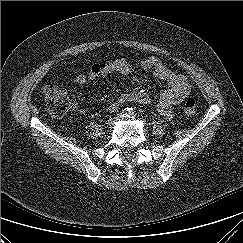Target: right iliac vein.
<instances>
[{"mask_svg":"<svg viewBox=\"0 0 243 243\" xmlns=\"http://www.w3.org/2000/svg\"><path fill=\"white\" fill-rule=\"evenodd\" d=\"M115 121H116L115 118H111V119L107 120L106 121L107 127H111L115 123Z\"/></svg>","mask_w":243,"mask_h":243,"instance_id":"obj_1","label":"right iliac vein"}]
</instances>
